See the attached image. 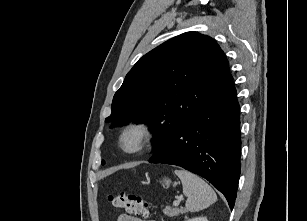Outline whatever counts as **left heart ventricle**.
<instances>
[{"label": "left heart ventricle", "mask_w": 307, "mask_h": 221, "mask_svg": "<svg viewBox=\"0 0 307 221\" xmlns=\"http://www.w3.org/2000/svg\"><path fill=\"white\" fill-rule=\"evenodd\" d=\"M135 144H136V136L134 134H130L129 136H127L125 140L126 147L131 148Z\"/></svg>", "instance_id": "obj_1"}]
</instances>
